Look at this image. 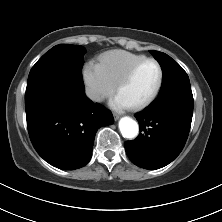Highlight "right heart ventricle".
Masks as SVG:
<instances>
[{"mask_svg":"<svg viewBox=\"0 0 222 222\" xmlns=\"http://www.w3.org/2000/svg\"><path fill=\"white\" fill-rule=\"evenodd\" d=\"M145 58L144 55L124 50H114L103 55L99 59L98 65L104 76L116 85L134 64Z\"/></svg>","mask_w":222,"mask_h":222,"instance_id":"right-heart-ventricle-1","label":"right heart ventricle"}]
</instances>
